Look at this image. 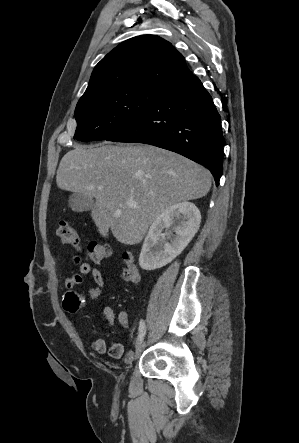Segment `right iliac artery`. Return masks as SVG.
Here are the masks:
<instances>
[{"mask_svg": "<svg viewBox=\"0 0 299 443\" xmlns=\"http://www.w3.org/2000/svg\"><path fill=\"white\" fill-rule=\"evenodd\" d=\"M145 334H146L145 322L143 320H141L140 325H139L138 337H137L138 344L142 342Z\"/></svg>", "mask_w": 299, "mask_h": 443, "instance_id": "82829eb1", "label": "right iliac artery"}]
</instances>
